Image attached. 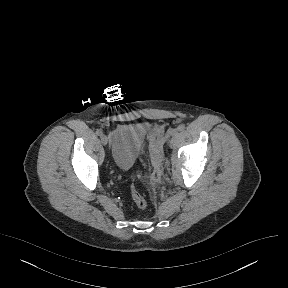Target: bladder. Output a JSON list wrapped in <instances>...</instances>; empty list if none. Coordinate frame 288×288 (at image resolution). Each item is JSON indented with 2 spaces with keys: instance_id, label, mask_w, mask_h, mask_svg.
<instances>
[{
  "instance_id": "bladder-1",
  "label": "bladder",
  "mask_w": 288,
  "mask_h": 288,
  "mask_svg": "<svg viewBox=\"0 0 288 288\" xmlns=\"http://www.w3.org/2000/svg\"><path fill=\"white\" fill-rule=\"evenodd\" d=\"M145 137V128L137 125H121L111 132V157L118 169L128 170L134 165L143 148Z\"/></svg>"
}]
</instances>
